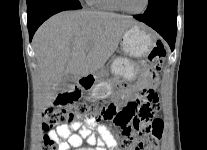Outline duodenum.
<instances>
[{"label":"duodenum","instance_id":"duodenum-1","mask_svg":"<svg viewBox=\"0 0 207 150\" xmlns=\"http://www.w3.org/2000/svg\"><path fill=\"white\" fill-rule=\"evenodd\" d=\"M94 82V78L91 75H84L79 80V85L82 87H90Z\"/></svg>","mask_w":207,"mask_h":150}]
</instances>
